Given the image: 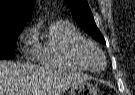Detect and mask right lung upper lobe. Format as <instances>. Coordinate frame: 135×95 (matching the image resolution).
Segmentation results:
<instances>
[{"label":"right lung upper lobe","mask_w":135,"mask_h":95,"mask_svg":"<svg viewBox=\"0 0 135 95\" xmlns=\"http://www.w3.org/2000/svg\"><path fill=\"white\" fill-rule=\"evenodd\" d=\"M34 6L33 0H0V35L23 30Z\"/></svg>","instance_id":"obj_1"}]
</instances>
